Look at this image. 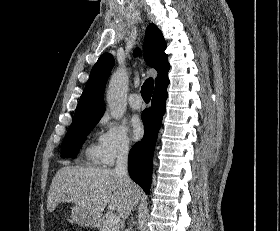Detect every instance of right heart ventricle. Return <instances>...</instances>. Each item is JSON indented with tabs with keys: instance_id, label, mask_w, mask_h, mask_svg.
<instances>
[{
	"instance_id": "obj_1",
	"label": "right heart ventricle",
	"mask_w": 280,
	"mask_h": 231,
	"mask_svg": "<svg viewBox=\"0 0 280 231\" xmlns=\"http://www.w3.org/2000/svg\"><path fill=\"white\" fill-rule=\"evenodd\" d=\"M83 156H84L85 163L88 165L97 166L102 163L100 159L98 146L95 145L94 143L88 144V146L84 150Z\"/></svg>"
}]
</instances>
